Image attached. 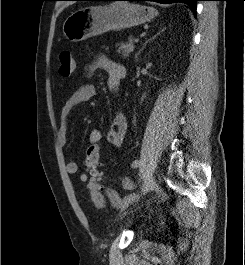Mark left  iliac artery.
<instances>
[{
	"label": "left iliac artery",
	"mask_w": 245,
	"mask_h": 265,
	"mask_svg": "<svg viewBox=\"0 0 245 265\" xmlns=\"http://www.w3.org/2000/svg\"><path fill=\"white\" fill-rule=\"evenodd\" d=\"M140 165V161L139 160H135V161H133V163H132V167L133 168H136V167H138Z\"/></svg>",
	"instance_id": "1"
}]
</instances>
